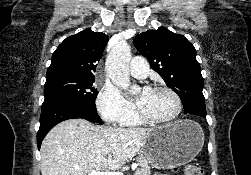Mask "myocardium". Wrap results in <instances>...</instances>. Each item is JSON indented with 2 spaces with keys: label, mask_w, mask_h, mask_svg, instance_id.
<instances>
[{
  "label": "myocardium",
  "mask_w": 251,
  "mask_h": 175,
  "mask_svg": "<svg viewBox=\"0 0 251 175\" xmlns=\"http://www.w3.org/2000/svg\"><path fill=\"white\" fill-rule=\"evenodd\" d=\"M153 90L168 91L173 95V97L177 103V107H178V111H177L176 116L170 120H160V119L152 117L148 114H145L138 109L137 111H138L139 117L141 119L151 123V124H155V125H159V126H171V125H174V124L178 123L179 121H181V119L184 116V103H183V100H182L180 93L176 89H174L173 87H170L167 85L156 86L153 88Z\"/></svg>",
  "instance_id": "f54148a6"
}]
</instances>
